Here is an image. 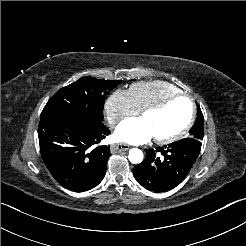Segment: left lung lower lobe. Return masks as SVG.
<instances>
[{
    "label": "left lung lower lobe",
    "instance_id": "left-lung-lower-lobe-1",
    "mask_svg": "<svg viewBox=\"0 0 246 246\" xmlns=\"http://www.w3.org/2000/svg\"><path fill=\"white\" fill-rule=\"evenodd\" d=\"M201 141L185 138L164 147L146 150V158L133 168L140 185L157 193L180 184L197 159Z\"/></svg>",
    "mask_w": 246,
    "mask_h": 246
}]
</instances>
